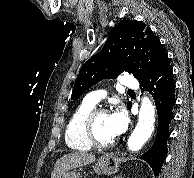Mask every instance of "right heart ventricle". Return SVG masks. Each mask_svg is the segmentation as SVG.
<instances>
[{
    "label": "right heart ventricle",
    "mask_w": 194,
    "mask_h": 178,
    "mask_svg": "<svg viewBox=\"0 0 194 178\" xmlns=\"http://www.w3.org/2000/svg\"><path fill=\"white\" fill-rule=\"evenodd\" d=\"M95 107L88 101H83L73 111L65 130V141L69 148L77 151H88L92 145L86 139L83 122L87 114Z\"/></svg>",
    "instance_id": "1"
}]
</instances>
